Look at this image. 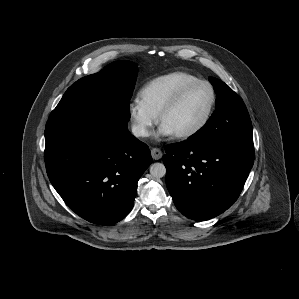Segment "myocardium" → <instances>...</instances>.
<instances>
[{
	"label": "myocardium",
	"mask_w": 299,
	"mask_h": 299,
	"mask_svg": "<svg viewBox=\"0 0 299 299\" xmlns=\"http://www.w3.org/2000/svg\"><path fill=\"white\" fill-rule=\"evenodd\" d=\"M197 85H205L208 87V89L210 91L211 97H210V103H209L208 109L199 124H197L195 127H193L192 129H190L188 131H185V132H182L179 134H175L174 136L178 139H188V138H191V137L197 135L209 123L211 116L213 114V111H214V108L216 105V99H217L216 91H215L213 85L209 81L202 80V79H197V80H194L192 82L185 84L174 94V96L168 101V103L161 109V111L158 115L159 122L162 123L163 118L180 103V101L185 96V94L190 89H192L193 87H195Z\"/></svg>",
	"instance_id": "obj_1"
}]
</instances>
